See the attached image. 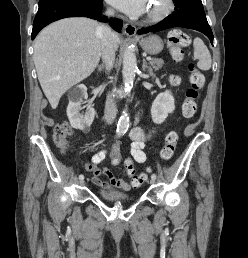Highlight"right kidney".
Segmentation results:
<instances>
[{"label":"right kidney","instance_id":"right-kidney-1","mask_svg":"<svg viewBox=\"0 0 248 258\" xmlns=\"http://www.w3.org/2000/svg\"><path fill=\"white\" fill-rule=\"evenodd\" d=\"M69 104L67 106V116L73 128L83 130L89 127L95 117V109L87 106L84 115L80 114L83 98H87V88L85 85H78L68 94Z\"/></svg>","mask_w":248,"mask_h":258}]
</instances>
